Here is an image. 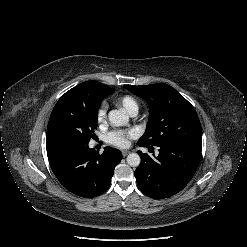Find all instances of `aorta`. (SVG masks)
I'll return each instance as SVG.
<instances>
[{
  "instance_id": "obj_1",
  "label": "aorta",
  "mask_w": 247,
  "mask_h": 247,
  "mask_svg": "<svg viewBox=\"0 0 247 247\" xmlns=\"http://www.w3.org/2000/svg\"><path fill=\"white\" fill-rule=\"evenodd\" d=\"M108 117L113 126H123L129 122V116L124 110H111ZM126 160L131 167L139 166L141 161L140 156L137 153H130Z\"/></svg>"
}]
</instances>
